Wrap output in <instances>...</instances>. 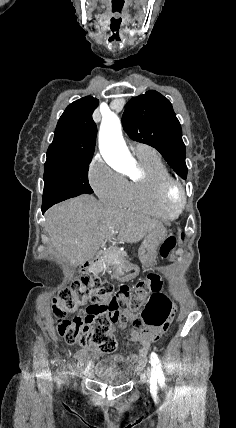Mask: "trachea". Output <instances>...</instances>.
I'll return each mask as SVG.
<instances>
[{"label": "trachea", "mask_w": 236, "mask_h": 428, "mask_svg": "<svg viewBox=\"0 0 236 428\" xmlns=\"http://www.w3.org/2000/svg\"><path fill=\"white\" fill-rule=\"evenodd\" d=\"M114 19H115V20H118V19H119V16H118V15H115V16H114ZM110 29H111L112 31H117V30L119 29V24H118L117 22H112V23L110 24Z\"/></svg>", "instance_id": "3493384b"}]
</instances>
